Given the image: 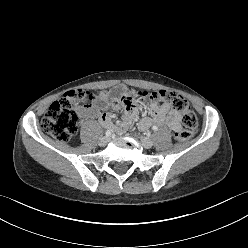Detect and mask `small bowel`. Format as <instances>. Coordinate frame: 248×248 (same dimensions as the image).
Segmentation results:
<instances>
[{"label":"small bowel","instance_id":"obj_1","mask_svg":"<svg viewBox=\"0 0 248 248\" xmlns=\"http://www.w3.org/2000/svg\"><path fill=\"white\" fill-rule=\"evenodd\" d=\"M116 113H123L124 120L115 125L112 116L108 113L101 114L100 111L107 107ZM82 116L88 118H99L100 124L110 130L117 129L120 132L125 131L130 122L138 118L137 101L133 93L129 92L124 84H119L111 89L110 93L97 99L96 103L84 110ZM153 123H166L170 129L177 132L182 129L180 115L173 111L166 103L162 105H152L150 116L138 120V126L142 130L148 129Z\"/></svg>","mask_w":248,"mask_h":248}]
</instances>
